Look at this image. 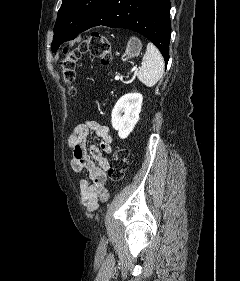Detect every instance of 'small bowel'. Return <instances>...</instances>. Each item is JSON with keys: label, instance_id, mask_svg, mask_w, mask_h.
I'll return each instance as SVG.
<instances>
[{"label": "small bowel", "instance_id": "small-bowel-1", "mask_svg": "<svg viewBox=\"0 0 240 281\" xmlns=\"http://www.w3.org/2000/svg\"><path fill=\"white\" fill-rule=\"evenodd\" d=\"M90 133L100 138L98 146H87ZM72 153L70 166L74 172L87 171L88 177L79 179L81 201L90 212H94L101 202L108 200L105 188L109 160L104 154L112 152V137L109 128L97 121L78 124L69 139Z\"/></svg>", "mask_w": 240, "mask_h": 281}]
</instances>
